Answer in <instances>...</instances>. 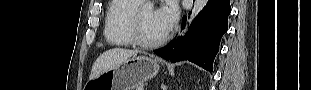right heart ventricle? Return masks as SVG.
I'll use <instances>...</instances> for the list:
<instances>
[{"label": "right heart ventricle", "mask_w": 311, "mask_h": 90, "mask_svg": "<svg viewBox=\"0 0 311 90\" xmlns=\"http://www.w3.org/2000/svg\"><path fill=\"white\" fill-rule=\"evenodd\" d=\"M141 0H113L108 7L104 26L105 39L115 46H133L130 21Z\"/></svg>", "instance_id": "right-heart-ventricle-1"}]
</instances>
